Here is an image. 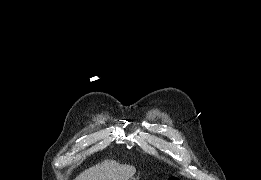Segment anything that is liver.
<instances>
[{
    "label": "liver",
    "mask_w": 261,
    "mask_h": 180,
    "mask_svg": "<svg viewBox=\"0 0 261 180\" xmlns=\"http://www.w3.org/2000/svg\"><path fill=\"white\" fill-rule=\"evenodd\" d=\"M136 170L134 166H121L116 162H102L82 172L75 180H130Z\"/></svg>",
    "instance_id": "6515ba94"
}]
</instances>
